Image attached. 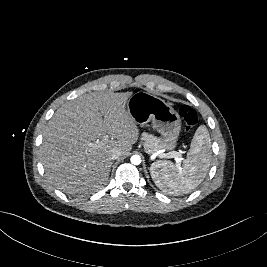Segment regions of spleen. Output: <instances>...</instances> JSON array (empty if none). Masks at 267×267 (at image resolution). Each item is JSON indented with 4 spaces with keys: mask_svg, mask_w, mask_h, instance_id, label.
Returning <instances> with one entry per match:
<instances>
[{
    "mask_svg": "<svg viewBox=\"0 0 267 267\" xmlns=\"http://www.w3.org/2000/svg\"><path fill=\"white\" fill-rule=\"evenodd\" d=\"M211 160V139L205 125L197 128L187 158L180 164L156 162L150 167L151 177L158 188L181 195L196 188L205 178Z\"/></svg>",
    "mask_w": 267,
    "mask_h": 267,
    "instance_id": "1",
    "label": "spleen"
}]
</instances>
